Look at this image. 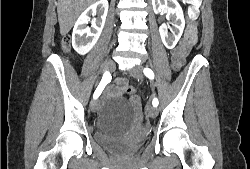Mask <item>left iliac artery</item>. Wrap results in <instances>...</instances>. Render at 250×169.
Instances as JSON below:
<instances>
[{
	"label": "left iliac artery",
	"instance_id": "left-iliac-artery-1",
	"mask_svg": "<svg viewBox=\"0 0 250 169\" xmlns=\"http://www.w3.org/2000/svg\"><path fill=\"white\" fill-rule=\"evenodd\" d=\"M144 74L146 77H148L149 79H154V73L151 69L149 68H144L143 70ZM152 104L154 107H157L158 104H159V101L157 98H154L153 101H152Z\"/></svg>",
	"mask_w": 250,
	"mask_h": 169
}]
</instances>
